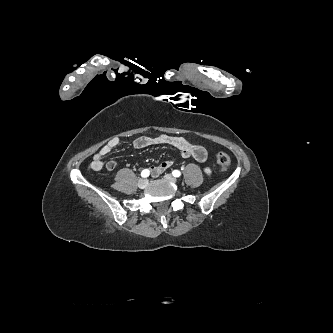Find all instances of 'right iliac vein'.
I'll return each instance as SVG.
<instances>
[{
    "instance_id": "right-iliac-vein-1",
    "label": "right iliac vein",
    "mask_w": 333,
    "mask_h": 333,
    "mask_svg": "<svg viewBox=\"0 0 333 333\" xmlns=\"http://www.w3.org/2000/svg\"><path fill=\"white\" fill-rule=\"evenodd\" d=\"M148 185V180L147 179H140L138 181V187L141 189H144Z\"/></svg>"
}]
</instances>
